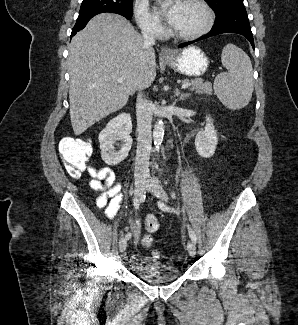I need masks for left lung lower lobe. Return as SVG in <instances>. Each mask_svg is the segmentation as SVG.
Segmentation results:
<instances>
[{
  "label": "left lung lower lobe",
  "mask_w": 298,
  "mask_h": 325,
  "mask_svg": "<svg viewBox=\"0 0 298 325\" xmlns=\"http://www.w3.org/2000/svg\"><path fill=\"white\" fill-rule=\"evenodd\" d=\"M222 33H238L245 36L251 43L252 47L254 48V39L253 34L251 32L250 23L247 17L246 9L243 8H235L220 18H216L215 24L212 30L205 36L186 43H182L179 45L180 48L190 45L196 41L209 38L211 36H215Z\"/></svg>",
  "instance_id": "left-lung-lower-lobe-1"
}]
</instances>
